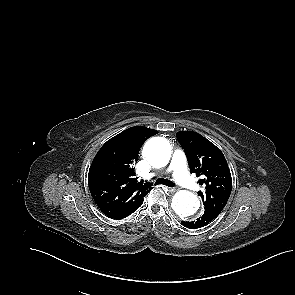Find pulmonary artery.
Wrapping results in <instances>:
<instances>
[{
    "label": "pulmonary artery",
    "instance_id": "obj_1",
    "mask_svg": "<svg viewBox=\"0 0 295 295\" xmlns=\"http://www.w3.org/2000/svg\"><path fill=\"white\" fill-rule=\"evenodd\" d=\"M172 172L175 180L183 187L197 191L198 184L190 177L187 171L186 157L181 150H176L173 154L170 166L167 170Z\"/></svg>",
    "mask_w": 295,
    "mask_h": 295
}]
</instances>
